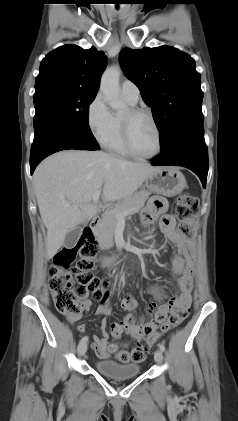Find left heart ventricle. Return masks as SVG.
<instances>
[{
  "label": "left heart ventricle",
  "instance_id": "1",
  "mask_svg": "<svg viewBox=\"0 0 238 421\" xmlns=\"http://www.w3.org/2000/svg\"><path fill=\"white\" fill-rule=\"evenodd\" d=\"M122 116H128V110ZM130 134L132 145L139 154L150 156L157 150V133L147 116L139 115L131 119Z\"/></svg>",
  "mask_w": 238,
  "mask_h": 421
}]
</instances>
